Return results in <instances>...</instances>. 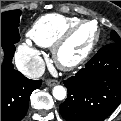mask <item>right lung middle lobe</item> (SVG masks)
Listing matches in <instances>:
<instances>
[{"instance_id":"1","label":"right lung middle lobe","mask_w":121,"mask_h":121,"mask_svg":"<svg viewBox=\"0 0 121 121\" xmlns=\"http://www.w3.org/2000/svg\"><path fill=\"white\" fill-rule=\"evenodd\" d=\"M20 10H12L1 13V42L15 44L19 41Z\"/></svg>"}]
</instances>
